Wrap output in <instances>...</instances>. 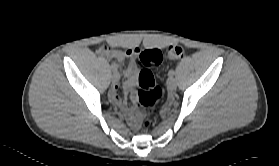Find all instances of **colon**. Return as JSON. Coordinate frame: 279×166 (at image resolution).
Listing matches in <instances>:
<instances>
[{"label": "colon", "mask_w": 279, "mask_h": 166, "mask_svg": "<svg viewBox=\"0 0 279 166\" xmlns=\"http://www.w3.org/2000/svg\"><path fill=\"white\" fill-rule=\"evenodd\" d=\"M185 50L180 45L169 46L164 53L157 49H149L141 52L137 58V65L142 67L138 76V92L135 97L138 105L144 110L141 127L146 130L152 124L151 113L154 107L163 99L162 88L155 85L152 72L148 67L159 65L163 57L177 60L183 58ZM140 113L138 112V117Z\"/></svg>", "instance_id": "1"}]
</instances>
